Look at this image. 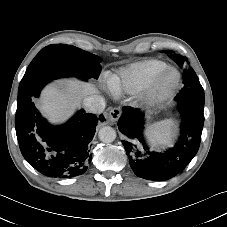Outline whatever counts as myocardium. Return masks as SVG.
Listing matches in <instances>:
<instances>
[{
	"instance_id": "f54148a6",
	"label": "myocardium",
	"mask_w": 227,
	"mask_h": 227,
	"mask_svg": "<svg viewBox=\"0 0 227 227\" xmlns=\"http://www.w3.org/2000/svg\"><path fill=\"white\" fill-rule=\"evenodd\" d=\"M175 73L174 81L167 87L163 86L164 77L170 73ZM181 75L178 69L174 67H167L158 73L151 83L139 93V100L141 103L151 106H156L164 103L170 99L180 84Z\"/></svg>"
}]
</instances>
